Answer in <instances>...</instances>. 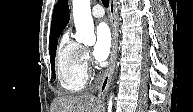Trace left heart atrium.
Segmentation results:
<instances>
[{
  "label": "left heart atrium",
  "instance_id": "1",
  "mask_svg": "<svg viewBox=\"0 0 193 112\" xmlns=\"http://www.w3.org/2000/svg\"><path fill=\"white\" fill-rule=\"evenodd\" d=\"M111 49V33L105 23H101L96 28V41L93 47V57L97 62L107 59Z\"/></svg>",
  "mask_w": 193,
  "mask_h": 112
}]
</instances>
